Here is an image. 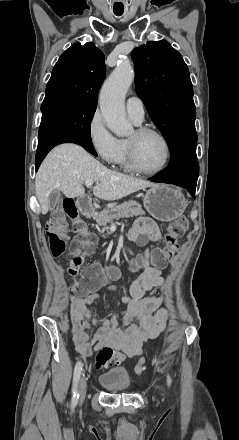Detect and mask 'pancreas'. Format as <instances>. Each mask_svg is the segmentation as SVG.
<instances>
[{
	"label": "pancreas",
	"instance_id": "pancreas-1",
	"mask_svg": "<svg viewBox=\"0 0 239 440\" xmlns=\"http://www.w3.org/2000/svg\"><path fill=\"white\" fill-rule=\"evenodd\" d=\"M145 212L142 210L141 204L135 200H129L119 206H113L109 210H102V212H93V218L96 220L98 226H106L113 220H120V218H133V216H144Z\"/></svg>",
	"mask_w": 239,
	"mask_h": 440
}]
</instances>
